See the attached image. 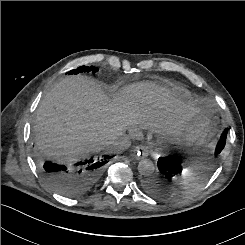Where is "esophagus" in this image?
<instances>
[{"label":"esophagus","mask_w":245,"mask_h":245,"mask_svg":"<svg viewBox=\"0 0 245 245\" xmlns=\"http://www.w3.org/2000/svg\"><path fill=\"white\" fill-rule=\"evenodd\" d=\"M131 151L136 158H145L148 156V150L144 146H138Z\"/></svg>","instance_id":"obj_1"}]
</instances>
